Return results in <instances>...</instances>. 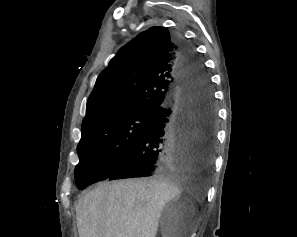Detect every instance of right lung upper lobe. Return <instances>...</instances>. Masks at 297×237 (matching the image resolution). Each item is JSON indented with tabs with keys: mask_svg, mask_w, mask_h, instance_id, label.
<instances>
[{
	"mask_svg": "<svg viewBox=\"0 0 297 237\" xmlns=\"http://www.w3.org/2000/svg\"><path fill=\"white\" fill-rule=\"evenodd\" d=\"M179 49L164 27H151L119 50L98 76L81 131L97 121L135 112H155L179 86Z\"/></svg>",
	"mask_w": 297,
	"mask_h": 237,
	"instance_id": "obj_1",
	"label": "right lung upper lobe"
}]
</instances>
